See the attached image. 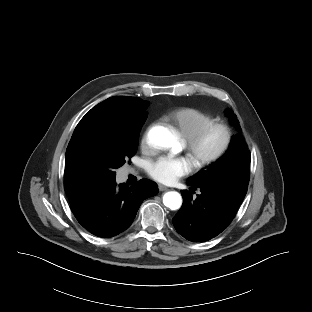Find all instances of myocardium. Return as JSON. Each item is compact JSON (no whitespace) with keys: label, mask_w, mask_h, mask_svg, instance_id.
<instances>
[{"label":"myocardium","mask_w":312,"mask_h":312,"mask_svg":"<svg viewBox=\"0 0 312 312\" xmlns=\"http://www.w3.org/2000/svg\"><path fill=\"white\" fill-rule=\"evenodd\" d=\"M214 131H221L222 133V142L220 146L212 153L201 154V145ZM232 140L233 132L230 125L224 121H213L195 134L184 139V142L185 148L188 151L194 165L197 168H204L221 159L229 150Z\"/></svg>","instance_id":"f54148a6"}]
</instances>
